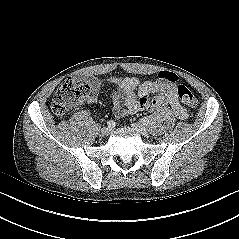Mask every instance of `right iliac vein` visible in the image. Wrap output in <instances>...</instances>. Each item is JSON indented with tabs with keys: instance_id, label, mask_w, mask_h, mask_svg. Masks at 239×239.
Wrapping results in <instances>:
<instances>
[{
	"instance_id": "obj_1",
	"label": "right iliac vein",
	"mask_w": 239,
	"mask_h": 239,
	"mask_svg": "<svg viewBox=\"0 0 239 239\" xmlns=\"http://www.w3.org/2000/svg\"><path fill=\"white\" fill-rule=\"evenodd\" d=\"M101 133H102V135H104V136H108V135L111 133V128H110V127H103V128L101 129Z\"/></svg>"
}]
</instances>
